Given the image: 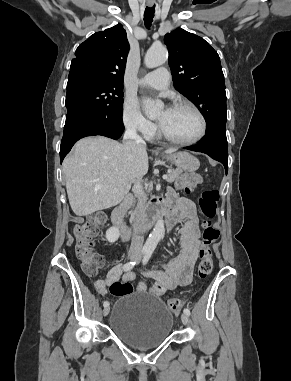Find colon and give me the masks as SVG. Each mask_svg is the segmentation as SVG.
Segmentation results:
<instances>
[{
	"mask_svg": "<svg viewBox=\"0 0 291 381\" xmlns=\"http://www.w3.org/2000/svg\"><path fill=\"white\" fill-rule=\"evenodd\" d=\"M200 184V179L194 175L182 177L178 186L185 192H192ZM219 194L216 190H206L199 197V206L205 220L203 221L202 240L199 248V264L197 274L200 278H206L213 269V250L219 239L220 231L212 223V219L217 212V202ZM106 223V216L98 213L87 217L85 222L76 225L73 229L75 237V251L77 258L81 262L84 273L88 276H95L99 269L103 267L104 258L93 249L94 238L102 231ZM110 292L114 296H123L134 292L133 286L128 282H114L110 286ZM179 299H170L167 302L169 310L178 313L182 307Z\"/></svg>",
	"mask_w": 291,
	"mask_h": 381,
	"instance_id": "5ec220e1",
	"label": "colon"
}]
</instances>
